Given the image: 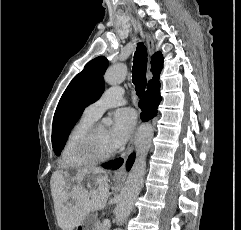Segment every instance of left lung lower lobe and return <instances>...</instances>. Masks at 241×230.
<instances>
[{
  "instance_id": "left-lung-lower-lobe-1",
  "label": "left lung lower lobe",
  "mask_w": 241,
  "mask_h": 230,
  "mask_svg": "<svg viewBox=\"0 0 241 230\" xmlns=\"http://www.w3.org/2000/svg\"><path fill=\"white\" fill-rule=\"evenodd\" d=\"M134 159H135V154H131L126 162V169L127 170H130V168L132 167L133 165V162H134ZM123 164V159L122 158H118L114 161H110V162H107V163H104L102 166L104 168H107V169H110V168H113V169H118L121 165Z\"/></svg>"
}]
</instances>
